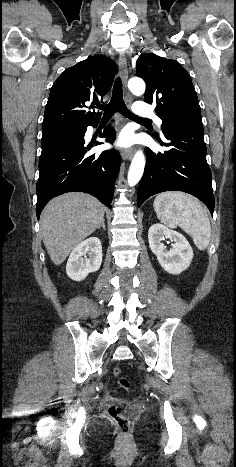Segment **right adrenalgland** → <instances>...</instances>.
<instances>
[{"mask_svg": "<svg viewBox=\"0 0 236 467\" xmlns=\"http://www.w3.org/2000/svg\"><path fill=\"white\" fill-rule=\"evenodd\" d=\"M100 227H102L103 230H106V227H105V220L102 221V224H101L98 228H100Z\"/></svg>", "mask_w": 236, "mask_h": 467, "instance_id": "obj_1", "label": "right adrenal gland"}]
</instances>
